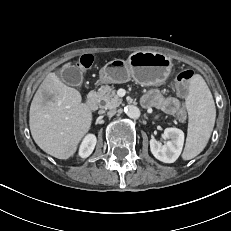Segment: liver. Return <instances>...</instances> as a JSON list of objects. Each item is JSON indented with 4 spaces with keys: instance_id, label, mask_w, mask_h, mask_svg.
<instances>
[{
    "instance_id": "6515ba94",
    "label": "liver",
    "mask_w": 231,
    "mask_h": 231,
    "mask_svg": "<svg viewBox=\"0 0 231 231\" xmlns=\"http://www.w3.org/2000/svg\"><path fill=\"white\" fill-rule=\"evenodd\" d=\"M67 63L63 68L70 67ZM79 91L49 73L36 92L29 112V126L36 144L47 154L68 159L92 124L91 109L81 103Z\"/></svg>"
}]
</instances>
